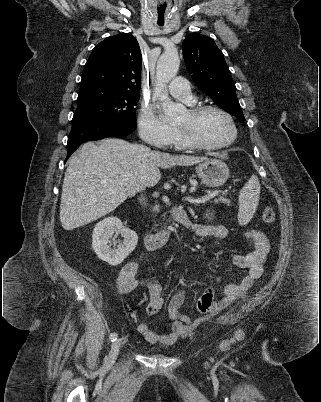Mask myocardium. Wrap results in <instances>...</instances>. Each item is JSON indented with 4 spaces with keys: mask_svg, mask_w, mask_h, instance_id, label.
<instances>
[{
    "mask_svg": "<svg viewBox=\"0 0 321 402\" xmlns=\"http://www.w3.org/2000/svg\"><path fill=\"white\" fill-rule=\"evenodd\" d=\"M206 110H215L227 119L232 130L231 136L227 140L218 144H206L199 141L189 130L177 126V131L179 132L184 143L190 148L206 151L223 149L233 144L237 139L238 129L232 115L228 111L215 104L194 105L188 108V112L192 115H198Z\"/></svg>",
    "mask_w": 321,
    "mask_h": 402,
    "instance_id": "1",
    "label": "myocardium"
}]
</instances>
